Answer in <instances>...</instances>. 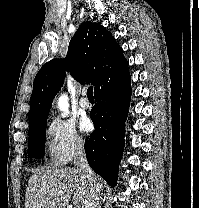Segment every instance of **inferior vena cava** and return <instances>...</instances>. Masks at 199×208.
Instances as JSON below:
<instances>
[{
    "instance_id": "1",
    "label": "inferior vena cava",
    "mask_w": 199,
    "mask_h": 208,
    "mask_svg": "<svg viewBox=\"0 0 199 208\" xmlns=\"http://www.w3.org/2000/svg\"><path fill=\"white\" fill-rule=\"evenodd\" d=\"M74 165L77 171L81 172L90 185V198L84 208H99L101 203V192L96 182V176L90 168L83 146L80 144L75 153Z\"/></svg>"
}]
</instances>
